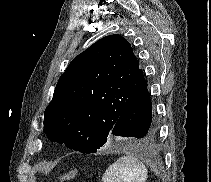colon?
<instances>
[{
  "instance_id": "colon-1",
  "label": "colon",
  "mask_w": 211,
  "mask_h": 182,
  "mask_svg": "<svg viewBox=\"0 0 211 182\" xmlns=\"http://www.w3.org/2000/svg\"><path fill=\"white\" fill-rule=\"evenodd\" d=\"M76 174H77V170L73 169L71 171L66 172L62 177L64 180H69V179L74 178Z\"/></svg>"
}]
</instances>
